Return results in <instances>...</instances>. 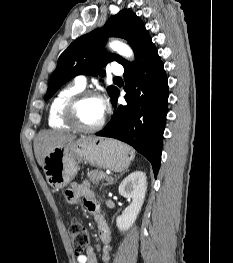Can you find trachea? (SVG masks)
Here are the masks:
<instances>
[{"label":"trachea","instance_id":"obj_1","mask_svg":"<svg viewBox=\"0 0 233 263\" xmlns=\"http://www.w3.org/2000/svg\"><path fill=\"white\" fill-rule=\"evenodd\" d=\"M113 80L114 81H122V79L120 77H115Z\"/></svg>","mask_w":233,"mask_h":263}]
</instances>
